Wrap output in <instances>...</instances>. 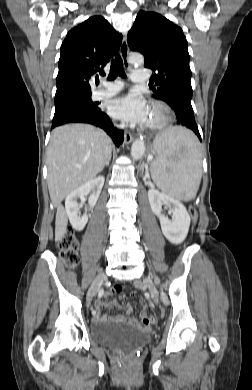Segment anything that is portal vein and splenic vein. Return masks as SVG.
Wrapping results in <instances>:
<instances>
[{"instance_id":"obj_1","label":"portal vein and splenic vein","mask_w":252,"mask_h":390,"mask_svg":"<svg viewBox=\"0 0 252 390\" xmlns=\"http://www.w3.org/2000/svg\"><path fill=\"white\" fill-rule=\"evenodd\" d=\"M148 160H152V157H149Z\"/></svg>"}]
</instances>
